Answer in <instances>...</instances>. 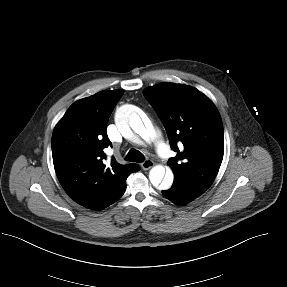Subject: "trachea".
<instances>
[{"instance_id": "trachea-1", "label": "trachea", "mask_w": 287, "mask_h": 287, "mask_svg": "<svg viewBox=\"0 0 287 287\" xmlns=\"http://www.w3.org/2000/svg\"><path fill=\"white\" fill-rule=\"evenodd\" d=\"M125 160L129 162H143L144 155L136 149H131L126 155Z\"/></svg>"}]
</instances>
